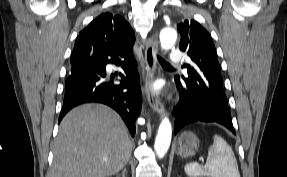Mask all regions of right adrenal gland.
<instances>
[{
  "label": "right adrenal gland",
  "instance_id": "obj_1",
  "mask_svg": "<svg viewBox=\"0 0 287 177\" xmlns=\"http://www.w3.org/2000/svg\"><path fill=\"white\" fill-rule=\"evenodd\" d=\"M127 169L126 167L123 169L122 173H121V176L122 177H125V173H126ZM117 177H119V175H117Z\"/></svg>",
  "mask_w": 287,
  "mask_h": 177
}]
</instances>
